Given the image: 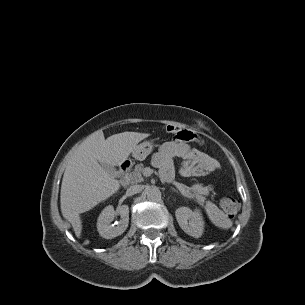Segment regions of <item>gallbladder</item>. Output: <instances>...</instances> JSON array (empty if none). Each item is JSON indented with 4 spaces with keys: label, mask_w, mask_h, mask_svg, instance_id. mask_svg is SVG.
Segmentation results:
<instances>
[{
    "label": "gallbladder",
    "mask_w": 305,
    "mask_h": 305,
    "mask_svg": "<svg viewBox=\"0 0 305 305\" xmlns=\"http://www.w3.org/2000/svg\"><path fill=\"white\" fill-rule=\"evenodd\" d=\"M100 164L104 168V170L107 171L111 176L117 175V170L113 166L107 165L105 163H100Z\"/></svg>",
    "instance_id": "1"
}]
</instances>
